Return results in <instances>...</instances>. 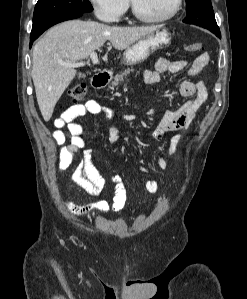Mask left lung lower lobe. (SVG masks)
Wrapping results in <instances>:
<instances>
[{
	"label": "left lung lower lobe",
	"instance_id": "1",
	"mask_svg": "<svg viewBox=\"0 0 247 299\" xmlns=\"http://www.w3.org/2000/svg\"><path fill=\"white\" fill-rule=\"evenodd\" d=\"M200 27H203V26H200ZM203 28H205V27H203ZM205 29H207V30L211 31L212 33H214L218 38H221L220 31H215V30H211V29H208V28H205Z\"/></svg>",
	"mask_w": 247,
	"mask_h": 299
}]
</instances>
